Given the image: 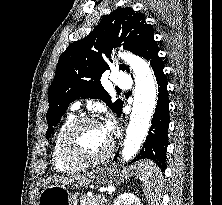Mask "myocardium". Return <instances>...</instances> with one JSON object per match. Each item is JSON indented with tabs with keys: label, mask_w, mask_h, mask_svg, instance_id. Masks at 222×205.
<instances>
[{
	"label": "myocardium",
	"mask_w": 222,
	"mask_h": 205,
	"mask_svg": "<svg viewBox=\"0 0 222 205\" xmlns=\"http://www.w3.org/2000/svg\"><path fill=\"white\" fill-rule=\"evenodd\" d=\"M90 123L100 124L99 120L94 117L82 116L74 119L73 122L64 131L61 137L60 149L62 157L66 162L78 167H87L101 164L111 156L114 149V141L110 136L107 148L101 155L97 157L85 159L75 154L71 149L70 140L74 133L82 126Z\"/></svg>",
	"instance_id": "obj_1"
}]
</instances>
